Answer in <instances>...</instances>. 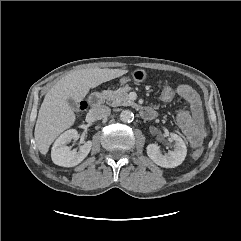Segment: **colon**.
Returning <instances> with one entry per match:
<instances>
[{"mask_svg": "<svg viewBox=\"0 0 241 241\" xmlns=\"http://www.w3.org/2000/svg\"><path fill=\"white\" fill-rule=\"evenodd\" d=\"M175 96V91L174 88L171 86H164L160 92V100L163 103H169L173 100ZM81 108H85V103H81ZM203 154V150L202 149H197L193 152V158L194 159H199L201 157V155Z\"/></svg>", "mask_w": 241, "mask_h": 241, "instance_id": "5ec220e1", "label": "colon"}]
</instances>
